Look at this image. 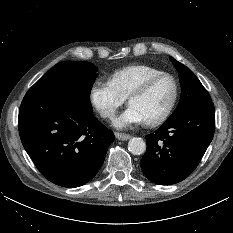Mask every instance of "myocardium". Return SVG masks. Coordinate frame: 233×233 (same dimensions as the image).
Wrapping results in <instances>:
<instances>
[{
  "mask_svg": "<svg viewBox=\"0 0 233 233\" xmlns=\"http://www.w3.org/2000/svg\"><path fill=\"white\" fill-rule=\"evenodd\" d=\"M163 78H168L172 81L174 87L173 97L163 114L155 119L146 121V124L149 126H157L163 124L172 114L179 98V83L177 79L172 74L166 72L152 75L142 81L137 87H135L127 97L128 103L130 104L133 98L145 94L153 86V84Z\"/></svg>",
  "mask_w": 233,
  "mask_h": 233,
  "instance_id": "myocardium-1",
  "label": "myocardium"
}]
</instances>
